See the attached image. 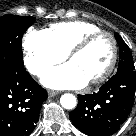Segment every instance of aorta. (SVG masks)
Returning <instances> with one entry per match:
<instances>
[{"label": "aorta", "mask_w": 136, "mask_h": 136, "mask_svg": "<svg viewBox=\"0 0 136 136\" xmlns=\"http://www.w3.org/2000/svg\"><path fill=\"white\" fill-rule=\"evenodd\" d=\"M60 103L65 109H73L76 106V97L70 93L63 94L60 98Z\"/></svg>", "instance_id": "obj_1"}]
</instances>
